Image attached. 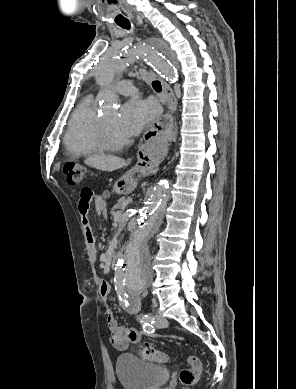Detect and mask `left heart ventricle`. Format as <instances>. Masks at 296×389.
Here are the masks:
<instances>
[{"label": "left heart ventricle", "mask_w": 296, "mask_h": 389, "mask_svg": "<svg viewBox=\"0 0 296 389\" xmlns=\"http://www.w3.org/2000/svg\"><path fill=\"white\" fill-rule=\"evenodd\" d=\"M107 132L111 139L113 140H120L123 138H126V136L119 130L117 121H118V114L117 112L108 113L104 116H102Z\"/></svg>", "instance_id": "b2bd125f"}]
</instances>
